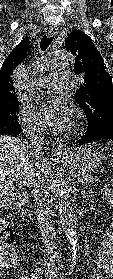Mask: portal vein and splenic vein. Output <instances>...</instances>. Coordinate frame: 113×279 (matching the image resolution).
I'll list each match as a JSON object with an SVG mask.
<instances>
[{
  "label": "portal vein and splenic vein",
  "instance_id": "obj_1",
  "mask_svg": "<svg viewBox=\"0 0 113 279\" xmlns=\"http://www.w3.org/2000/svg\"><path fill=\"white\" fill-rule=\"evenodd\" d=\"M75 177V176H74ZM20 183V185L22 184V182H19ZM23 186H25L24 184H23ZM26 187H28V186H26Z\"/></svg>",
  "mask_w": 113,
  "mask_h": 279
}]
</instances>
